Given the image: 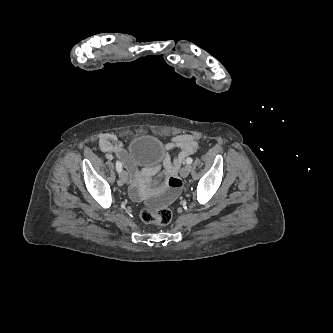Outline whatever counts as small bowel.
<instances>
[{
    "label": "small bowel",
    "instance_id": "obj_1",
    "mask_svg": "<svg viewBox=\"0 0 333 333\" xmlns=\"http://www.w3.org/2000/svg\"><path fill=\"white\" fill-rule=\"evenodd\" d=\"M99 147L106 153L108 158L115 156L119 158L124 166L126 167L127 173L130 178V196L139 200L145 197L144 191V174L137 168L135 163L127 156L123 144L118 140L117 136L112 133H104L99 138ZM197 138L191 134H180L172 137L168 142L165 143V149L167 151L178 149V153L174 158H171L168 154H165L162 161L163 174L166 178L170 179V185L173 189H170L166 198L175 196L181 186V181L176 176L185 162V160L193 153L198 150Z\"/></svg>",
    "mask_w": 333,
    "mask_h": 333
}]
</instances>
